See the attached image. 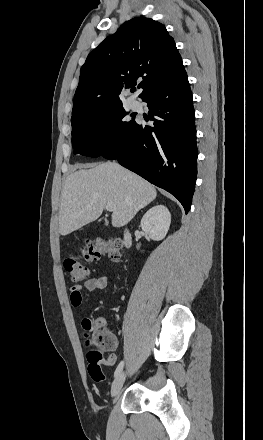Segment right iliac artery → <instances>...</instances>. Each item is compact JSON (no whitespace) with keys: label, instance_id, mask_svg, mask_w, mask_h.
I'll use <instances>...</instances> for the list:
<instances>
[{"label":"right iliac artery","instance_id":"obj_1","mask_svg":"<svg viewBox=\"0 0 263 440\" xmlns=\"http://www.w3.org/2000/svg\"><path fill=\"white\" fill-rule=\"evenodd\" d=\"M123 366H124V361H121L115 370L114 377L118 376V374L122 371Z\"/></svg>","mask_w":263,"mask_h":440}]
</instances>
